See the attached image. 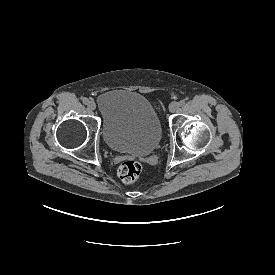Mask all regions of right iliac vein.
Wrapping results in <instances>:
<instances>
[{
  "mask_svg": "<svg viewBox=\"0 0 275 275\" xmlns=\"http://www.w3.org/2000/svg\"><path fill=\"white\" fill-rule=\"evenodd\" d=\"M88 107L91 110H95L96 109V103L94 101H90V103L88 104Z\"/></svg>",
  "mask_w": 275,
  "mask_h": 275,
  "instance_id": "right-iliac-vein-1",
  "label": "right iliac vein"
}]
</instances>
